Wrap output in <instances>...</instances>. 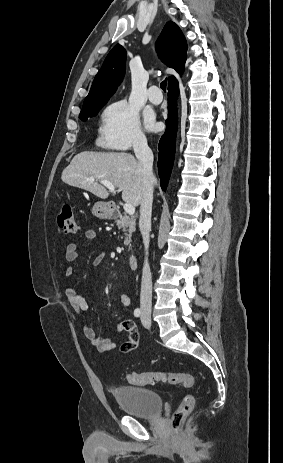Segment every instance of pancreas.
<instances>
[{
	"instance_id": "obj_1",
	"label": "pancreas",
	"mask_w": 283,
	"mask_h": 463,
	"mask_svg": "<svg viewBox=\"0 0 283 463\" xmlns=\"http://www.w3.org/2000/svg\"><path fill=\"white\" fill-rule=\"evenodd\" d=\"M115 222L118 228L123 230L126 236L124 239V245H130L132 233L136 230V219L134 217L122 216Z\"/></svg>"
}]
</instances>
